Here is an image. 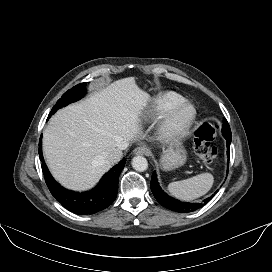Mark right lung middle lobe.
<instances>
[{
	"mask_svg": "<svg viewBox=\"0 0 272 272\" xmlns=\"http://www.w3.org/2000/svg\"><path fill=\"white\" fill-rule=\"evenodd\" d=\"M85 86L86 83H81L64 93L62 97L57 101V103L53 106L48 116V119L56 112L57 109L81 99L86 94Z\"/></svg>",
	"mask_w": 272,
	"mask_h": 272,
	"instance_id": "dd1d6c3e",
	"label": "right lung middle lobe"
}]
</instances>
